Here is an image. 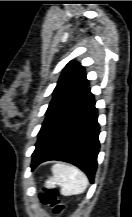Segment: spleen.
I'll return each instance as SVG.
<instances>
[{"instance_id":"1","label":"spleen","mask_w":132,"mask_h":217,"mask_svg":"<svg viewBox=\"0 0 132 217\" xmlns=\"http://www.w3.org/2000/svg\"><path fill=\"white\" fill-rule=\"evenodd\" d=\"M87 176L75 166L57 163L52 167V177L46 181L47 188L59 186L64 196L77 195L87 188Z\"/></svg>"}]
</instances>
